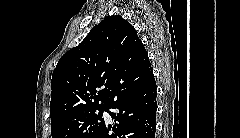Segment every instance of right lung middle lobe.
<instances>
[{
	"instance_id": "dd1d6c3e",
	"label": "right lung middle lobe",
	"mask_w": 240,
	"mask_h": 138,
	"mask_svg": "<svg viewBox=\"0 0 240 138\" xmlns=\"http://www.w3.org/2000/svg\"><path fill=\"white\" fill-rule=\"evenodd\" d=\"M108 107H93L51 124L52 138H94L105 124L102 117ZM99 111L96 114V111Z\"/></svg>"
}]
</instances>
